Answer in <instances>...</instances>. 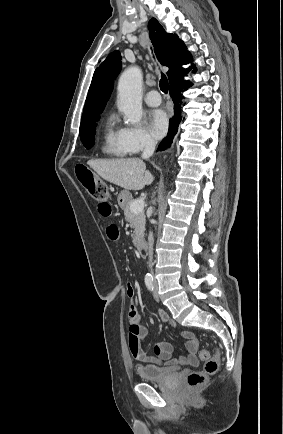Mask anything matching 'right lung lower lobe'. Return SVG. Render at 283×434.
<instances>
[{
  "label": "right lung lower lobe",
  "mask_w": 283,
  "mask_h": 434,
  "mask_svg": "<svg viewBox=\"0 0 283 434\" xmlns=\"http://www.w3.org/2000/svg\"><path fill=\"white\" fill-rule=\"evenodd\" d=\"M192 84L188 81H182V80H175L173 83L170 84V95L172 97V100L174 102V109L175 113L174 116L169 121V130L167 136L161 141V143L158 146V151L165 150L166 148H169L172 139L177 133L179 123L181 122V106H182V95L181 91L190 87Z\"/></svg>",
  "instance_id": "obj_1"
}]
</instances>
